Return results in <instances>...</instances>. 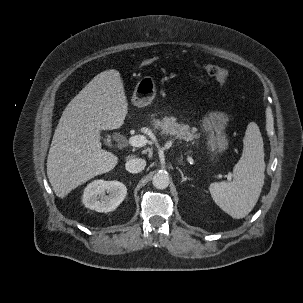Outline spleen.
Returning a JSON list of instances; mask_svg holds the SVG:
<instances>
[{"label": "spleen", "mask_w": 303, "mask_h": 303, "mask_svg": "<svg viewBox=\"0 0 303 303\" xmlns=\"http://www.w3.org/2000/svg\"><path fill=\"white\" fill-rule=\"evenodd\" d=\"M264 171L263 139L258 125L250 122L243 139L242 156L233 169V180L212 183L209 190L213 200L233 218H244L258 201Z\"/></svg>", "instance_id": "spleen-1"}]
</instances>
